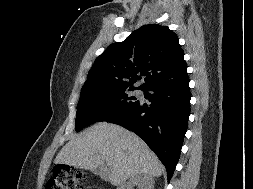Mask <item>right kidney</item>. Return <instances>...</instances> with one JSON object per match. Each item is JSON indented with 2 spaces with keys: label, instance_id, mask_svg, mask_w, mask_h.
Wrapping results in <instances>:
<instances>
[{
  "label": "right kidney",
  "instance_id": "1",
  "mask_svg": "<svg viewBox=\"0 0 253 189\" xmlns=\"http://www.w3.org/2000/svg\"><path fill=\"white\" fill-rule=\"evenodd\" d=\"M134 186H138L139 189H154V179L146 174L136 175L117 189H133Z\"/></svg>",
  "mask_w": 253,
  "mask_h": 189
}]
</instances>
